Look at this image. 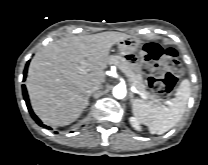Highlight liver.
I'll return each instance as SVG.
<instances>
[{
    "label": "liver",
    "instance_id": "1",
    "mask_svg": "<svg viewBox=\"0 0 208 165\" xmlns=\"http://www.w3.org/2000/svg\"><path fill=\"white\" fill-rule=\"evenodd\" d=\"M129 38L120 32L59 39L32 59L26 86L35 114L48 125L65 126L83 112L89 86L105 81L110 48Z\"/></svg>",
    "mask_w": 208,
    "mask_h": 165
}]
</instances>
